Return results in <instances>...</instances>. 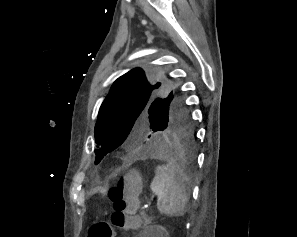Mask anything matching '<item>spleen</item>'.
I'll return each instance as SVG.
<instances>
[{
    "instance_id": "3e777b00",
    "label": "spleen",
    "mask_w": 297,
    "mask_h": 237,
    "mask_svg": "<svg viewBox=\"0 0 297 237\" xmlns=\"http://www.w3.org/2000/svg\"><path fill=\"white\" fill-rule=\"evenodd\" d=\"M150 189L157 196V208L161 214L183 216L188 202L186 181L183 175H177L170 165L159 166Z\"/></svg>"
}]
</instances>
